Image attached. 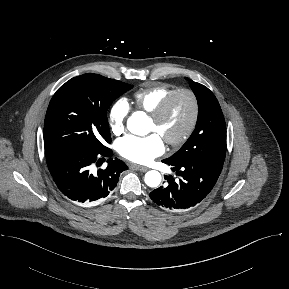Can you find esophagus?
I'll return each instance as SVG.
<instances>
[{
	"label": "esophagus",
	"mask_w": 289,
	"mask_h": 289,
	"mask_svg": "<svg viewBox=\"0 0 289 289\" xmlns=\"http://www.w3.org/2000/svg\"><path fill=\"white\" fill-rule=\"evenodd\" d=\"M131 167L141 171V172H146L149 170L148 167H145V166H141V165H137V164H132Z\"/></svg>",
	"instance_id": "1"
}]
</instances>
